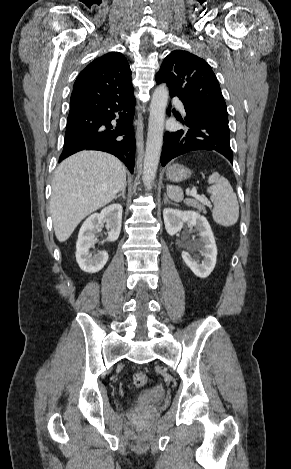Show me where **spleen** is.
Listing matches in <instances>:
<instances>
[{
  "instance_id": "1",
  "label": "spleen",
  "mask_w": 291,
  "mask_h": 469,
  "mask_svg": "<svg viewBox=\"0 0 291 469\" xmlns=\"http://www.w3.org/2000/svg\"><path fill=\"white\" fill-rule=\"evenodd\" d=\"M208 183L212 184L208 188V193L214 204L212 210L214 221L225 227L234 225L239 218V204L232 186L217 172L209 176ZM167 194L175 202L182 201L184 197L183 190L172 185L167 186Z\"/></svg>"
}]
</instances>
